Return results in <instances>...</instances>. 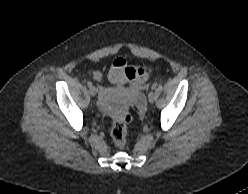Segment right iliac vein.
<instances>
[{"label":"right iliac vein","mask_w":248,"mask_h":194,"mask_svg":"<svg viewBox=\"0 0 248 194\" xmlns=\"http://www.w3.org/2000/svg\"><path fill=\"white\" fill-rule=\"evenodd\" d=\"M89 93H90L91 96L94 97V96L96 95V93H97L96 88L93 87V86H91V87L89 88Z\"/></svg>","instance_id":"obj_1"}]
</instances>
